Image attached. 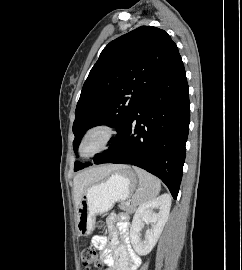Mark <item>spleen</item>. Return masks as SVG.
Instances as JSON below:
<instances>
[{
    "label": "spleen",
    "instance_id": "spleen-1",
    "mask_svg": "<svg viewBox=\"0 0 242 270\" xmlns=\"http://www.w3.org/2000/svg\"><path fill=\"white\" fill-rule=\"evenodd\" d=\"M134 170L139 178V186L132 197V202L140 205L155 199L161 189L159 179L138 167H134Z\"/></svg>",
    "mask_w": 242,
    "mask_h": 270
}]
</instances>
